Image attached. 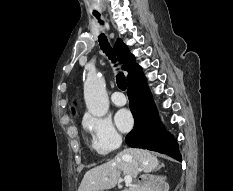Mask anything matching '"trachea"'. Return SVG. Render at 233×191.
Listing matches in <instances>:
<instances>
[{
  "label": "trachea",
  "instance_id": "1",
  "mask_svg": "<svg viewBox=\"0 0 233 191\" xmlns=\"http://www.w3.org/2000/svg\"><path fill=\"white\" fill-rule=\"evenodd\" d=\"M96 18H100L99 14H94ZM102 22V21H100ZM99 45L101 47V49L103 50V52L109 57V59L112 60V62H115V55L114 52L106 38V36L104 34H101L99 36ZM116 80H117V85L121 90H126L127 88V84H126V79L125 76L123 75V73H119L116 76Z\"/></svg>",
  "mask_w": 233,
  "mask_h": 191
}]
</instances>
